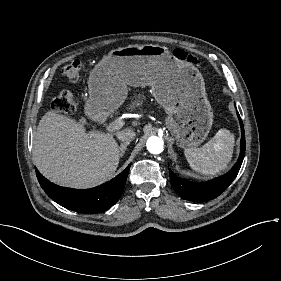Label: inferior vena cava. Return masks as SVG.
<instances>
[{"label": "inferior vena cava", "mask_w": 281, "mask_h": 281, "mask_svg": "<svg viewBox=\"0 0 281 281\" xmlns=\"http://www.w3.org/2000/svg\"><path fill=\"white\" fill-rule=\"evenodd\" d=\"M116 136L122 141H131L132 139L135 138V131L133 129L126 128L117 132Z\"/></svg>", "instance_id": "602c4592"}]
</instances>
